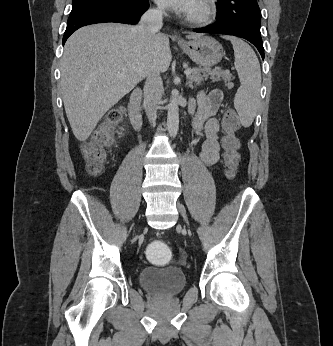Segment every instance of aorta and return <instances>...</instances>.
I'll use <instances>...</instances> for the list:
<instances>
[{"mask_svg":"<svg viewBox=\"0 0 333 346\" xmlns=\"http://www.w3.org/2000/svg\"><path fill=\"white\" fill-rule=\"evenodd\" d=\"M167 129L171 137H176L179 130V108L174 98L168 104Z\"/></svg>","mask_w":333,"mask_h":346,"instance_id":"762f6f07","label":"aorta"}]
</instances>
